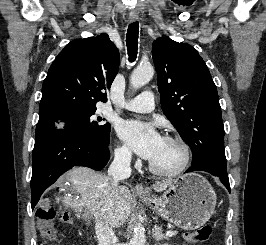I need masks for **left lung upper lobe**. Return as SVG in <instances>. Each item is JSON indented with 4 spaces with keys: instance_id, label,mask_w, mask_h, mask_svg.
Segmentation results:
<instances>
[{
    "instance_id": "1",
    "label": "left lung upper lobe",
    "mask_w": 266,
    "mask_h": 245,
    "mask_svg": "<svg viewBox=\"0 0 266 245\" xmlns=\"http://www.w3.org/2000/svg\"><path fill=\"white\" fill-rule=\"evenodd\" d=\"M152 56L162 110L189 144L192 166L227 170L218 93L202 57L189 44L168 37L153 42Z\"/></svg>"
}]
</instances>
